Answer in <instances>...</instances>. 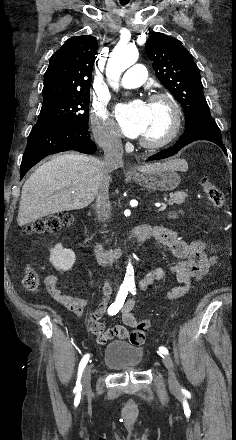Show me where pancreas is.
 I'll return each instance as SVG.
<instances>
[{"instance_id":"cf45deb5","label":"pancreas","mask_w":236,"mask_h":440,"mask_svg":"<svg viewBox=\"0 0 236 440\" xmlns=\"http://www.w3.org/2000/svg\"><path fill=\"white\" fill-rule=\"evenodd\" d=\"M187 197H188V194L186 191H177L175 193L170 194V199L168 200V203L170 205L182 204Z\"/></svg>"}]
</instances>
